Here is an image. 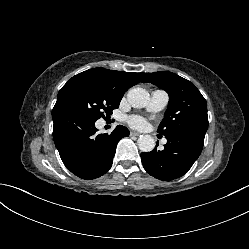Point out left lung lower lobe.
Segmentation results:
<instances>
[{
  "label": "left lung lower lobe",
  "mask_w": 249,
  "mask_h": 249,
  "mask_svg": "<svg viewBox=\"0 0 249 249\" xmlns=\"http://www.w3.org/2000/svg\"><path fill=\"white\" fill-rule=\"evenodd\" d=\"M205 135L194 132H180L166 136L164 150L141 153L145 170L153 177L168 181L181 177L199 157ZM158 146V144H157Z\"/></svg>",
  "instance_id": "0a47b994"
}]
</instances>
